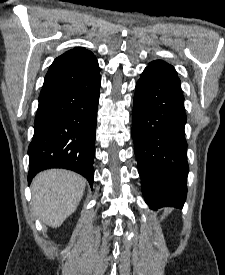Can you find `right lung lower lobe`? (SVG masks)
<instances>
[{
    "label": "right lung lower lobe",
    "instance_id": "1",
    "mask_svg": "<svg viewBox=\"0 0 225 275\" xmlns=\"http://www.w3.org/2000/svg\"><path fill=\"white\" fill-rule=\"evenodd\" d=\"M100 75L92 86L40 97L28 148V182L40 171L65 168L93 184Z\"/></svg>",
    "mask_w": 225,
    "mask_h": 275
}]
</instances>
